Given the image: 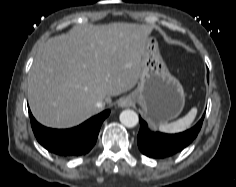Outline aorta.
I'll list each match as a JSON object with an SVG mask.
<instances>
[{
	"label": "aorta",
	"mask_w": 236,
	"mask_h": 187,
	"mask_svg": "<svg viewBox=\"0 0 236 187\" xmlns=\"http://www.w3.org/2000/svg\"><path fill=\"white\" fill-rule=\"evenodd\" d=\"M120 122L126 127H135L138 124L139 118L135 111L127 109L120 113Z\"/></svg>",
	"instance_id": "1"
}]
</instances>
